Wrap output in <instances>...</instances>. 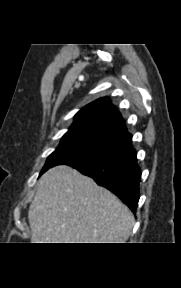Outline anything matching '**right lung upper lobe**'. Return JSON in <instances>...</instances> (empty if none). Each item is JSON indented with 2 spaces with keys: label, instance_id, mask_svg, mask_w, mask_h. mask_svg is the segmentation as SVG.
Returning a JSON list of instances; mask_svg holds the SVG:
<instances>
[{
  "label": "right lung upper lobe",
  "instance_id": "obj_1",
  "mask_svg": "<svg viewBox=\"0 0 181 288\" xmlns=\"http://www.w3.org/2000/svg\"><path fill=\"white\" fill-rule=\"evenodd\" d=\"M62 140L85 141L109 150L114 156L133 149L131 134L108 98H100L82 108Z\"/></svg>",
  "mask_w": 181,
  "mask_h": 288
}]
</instances>
